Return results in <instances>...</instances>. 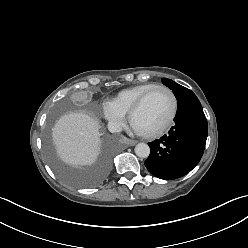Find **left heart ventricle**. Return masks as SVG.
Returning <instances> with one entry per match:
<instances>
[{
    "instance_id": "obj_1",
    "label": "left heart ventricle",
    "mask_w": 248,
    "mask_h": 248,
    "mask_svg": "<svg viewBox=\"0 0 248 248\" xmlns=\"http://www.w3.org/2000/svg\"><path fill=\"white\" fill-rule=\"evenodd\" d=\"M172 111V100L163 90H157L146 100L135 114L132 126L138 132L151 133L158 130L168 120Z\"/></svg>"
}]
</instances>
